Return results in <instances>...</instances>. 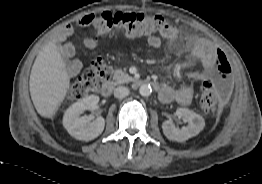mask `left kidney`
Instances as JSON below:
<instances>
[{"mask_svg":"<svg viewBox=\"0 0 262 184\" xmlns=\"http://www.w3.org/2000/svg\"><path fill=\"white\" fill-rule=\"evenodd\" d=\"M176 115L179 118L186 119L189 124L182 129H177L172 121H164L162 124L163 133L169 140L184 142L189 138L198 135L205 127L204 118L187 108H178Z\"/></svg>","mask_w":262,"mask_h":184,"instance_id":"left-kidney-1","label":"left kidney"}]
</instances>
